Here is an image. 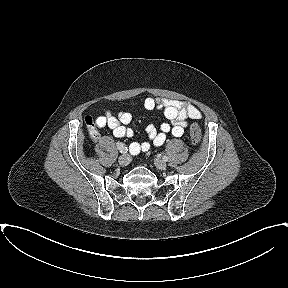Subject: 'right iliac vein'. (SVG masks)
<instances>
[{
	"label": "right iliac vein",
	"instance_id": "1",
	"mask_svg": "<svg viewBox=\"0 0 288 288\" xmlns=\"http://www.w3.org/2000/svg\"><path fill=\"white\" fill-rule=\"evenodd\" d=\"M118 162L121 166H127L131 162V158L128 154H123L119 157Z\"/></svg>",
	"mask_w": 288,
	"mask_h": 288
}]
</instances>
